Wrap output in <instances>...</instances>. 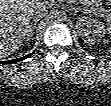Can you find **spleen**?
<instances>
[{"mask_svg": "<svg viewBox=\"0 0 111 106\" xmlns=\"http://www.w3.org/2000/svg\"><path fill=\"white\" fill-rule=\"evenodd\" d=\"M107 31H108L109 34H111V21H108Z\"/></svg>", "mask_w": 111, "mask_h": 106, "instance_id": "spleen-1", "label": "spleen"}]
</instances>
